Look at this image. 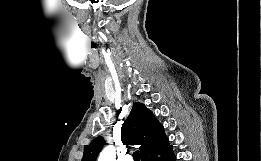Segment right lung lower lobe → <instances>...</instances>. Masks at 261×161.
Listing matches in <instances>:
<instances>
[{
  "instance_id": "right-lung-lower-lobe-1",
  "label": "right lung lower lobe",
  "mask_w": 261,
  "mask_h": 161,
  "mask_svg": "<svg viewBox=\"0 0 261 161\" xmlns=\"http://www.w3.org/2000/svg\"><path fill=\"white\" fill-rule=\"evenodd\" d=\"M161 155L157 157V155ZM175 156L172 151V145L169 143H165L162 147L158 148L157 150L149 153L141 161H174Z\"/></svg>"
}]
</instances>
